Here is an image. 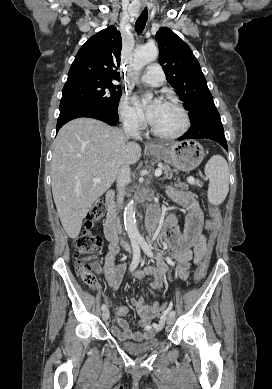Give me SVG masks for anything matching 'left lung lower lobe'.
I'll use <instances>...</instances> for the list:
<instances>
[{
	"label": "left lung lower lobe",
	"mask_w": 272,
	"mask_h": 389,
	"mask_svg": "<svg viewBox=\"0 0 272 389\" xmlns=\"http://www.w3.org/2000/svg\"><path fill=\"white\" fill-rule=\"evenodd\" d=\"M193 138L214 140L228 150L220 115L215 106L209 107L192 120L189 130L178 140Z\"/></svg>",
	"instance_id": "left-lung-lower-lobe-1"
}]
</instances>
